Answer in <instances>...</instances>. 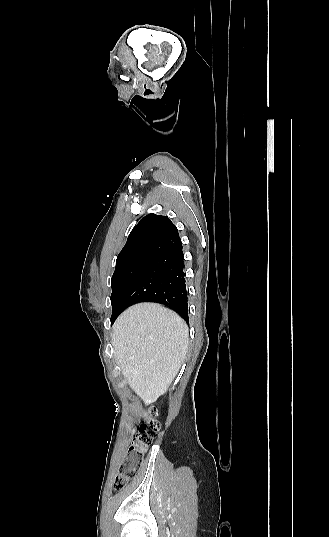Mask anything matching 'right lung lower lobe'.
Masks as SVG:
<instances>
[{
	"label": "right lung lower lobe",
	"instance_id": "98d812e1",
	"mask_svg": "<svg viewBox=\"0 0 329 537\" xmlns=\"http://www.w3.org/2000/svg\"><path fill=\"white\" fill-rule=\"evenodd\" d=\"M182 249L180 242L150 262L123 295L120 311L111 319V324L127 306L140 301L162 303L188 322V293Z\"/></svg>",
	"mask_w": 329,
	"mask_h": 537
}]
</instances>
